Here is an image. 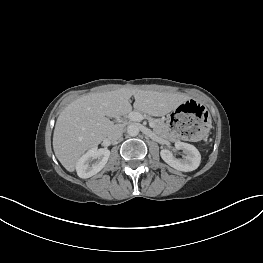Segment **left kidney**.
<instances>
[{
	"instance_id": "left-kidney-1",
	"label": "left kidney",
	"mask_w": 263,
	"mask_h": 263,
	"mask_svg": "<svg viewBox=\"0 0 263 263\" xmlns=\"http://www.w3.org/2000/svg\"><path fill=\"white\" fill-rule=\"evenodd\" d=\"M177 150H183L184 158H176L168 149H163L160 152L161 158L171 167L183 172H189L197 169L201 162V155L194 145L181 141L175 142Z\"/></svg>"
}]
</instances>
